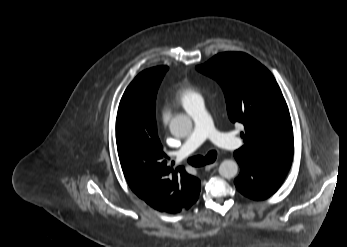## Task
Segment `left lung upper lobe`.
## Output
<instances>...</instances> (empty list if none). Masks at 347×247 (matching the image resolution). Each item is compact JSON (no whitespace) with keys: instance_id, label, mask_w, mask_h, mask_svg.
Segmentation results:
<instances>
[{"instance_id":"obj_1","label":"left lung upper lobe","mask_w":347,"mask_h":247,"mask_svg":"<svg viewBox=\"0 0 347 247\" xmlns=\"http://www.w3.org/2000/svg\"><path fill=\"white\" fill-rule=\"evenodd\" d=\"M196 69L217 80L230 120L244 125L246 144L234 154L252 161L292 163L289 110L276 80L261 63L245 53L225 52Z\"/></svg>"}]
</instances>
